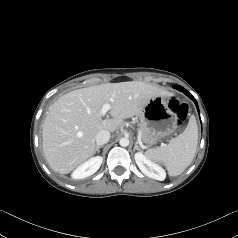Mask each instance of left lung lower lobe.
Returning <instances> with one entry per match:
<instances>
[{
  "label": "left lung lower lobe",
  "mask_w": 238,
  "mask_h": 238,
  "mask_svg": "<svg viewBox=\"0 0 238 238\" xmlns=\"http://www.w3.org/2000/svg\"><path fill=\"white\" fill-rule=\"evenodd\" d=\"M174 88L182 91L183 93H185L188 97H190L196 104L197 108H198V104H197V101L196 99L186 90L184 89L183 87L179 86V85H175ZM198 111H199V108H198Z\"/></svg>",
  "instance_id": "0a47b994"
}]
</instances>
